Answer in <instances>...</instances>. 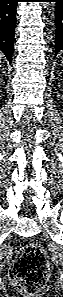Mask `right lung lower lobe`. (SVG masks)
Listing matches in <instances>:
<instances>
[{"label": "right lung lower lobe", "instance_id": "right-lung-lower-lobe-1", "mask_svg": "<svg viewBox=\"0 0 63 297\" xmlns=\"http://www.w3.org/2000/svg\"><path fill=\"white\" fill-rule=\"evenodd\" d=\"M19 0H0V50L12 62L16 24V5Z\"/></svg>", "mask_w": 63, "mask_h": 297}]
</instances>
